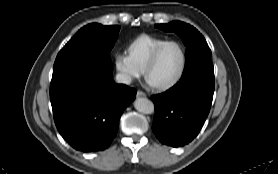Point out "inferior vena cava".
<instances>
[{"mask_svg": "<svg viewBox=\"0 0 278 174\" xmlns=\"http://www.w3.org/2000/svg\"><path fill=\"white\" fill-rule=\"evenodd\" d=\"M131 78L124 74H117L116 75V82L118 83H129Z\"/></svg>", "mask_w": 278, "mask_h": 174, "instance_id": "obj_1", "label": "inferior vena cava"}]
</instances>
